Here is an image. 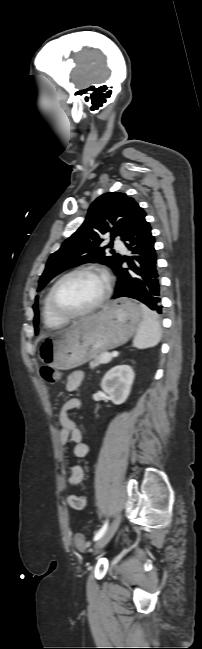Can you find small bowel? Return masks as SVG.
<instances>
[{
  "label": "small bowel",
  "instance_id": "small-bowel-1",
  "mask_svg": "<svg viewBox=\"0 0 202 649\" xmlns=\"http://www.w3.org/2000/svg\"><path fill=\"white\" fill-rule=\"evenodd\" d=\"M84 379V373L80 370L72 371L67 379L66 386L69 390H74L78 388ZM80 407V401L76 398L69 399L66 401L62 408L59 416V422L61 428L59 430V444L61 446V460H65V450L64 447L68 442H72L74 445L73 453L76 457H84L89 451V447L82 441V433L76 427L74 420L71 415L72 412ZM84 478V470L80 465H74L71 467L68 477V484L71 486L79 485ZM67 503L70 507L76 510H82L86 505V500L83 496L71 495L67 498Z\"/></svg>",
  "mask_w": 202,
  "mask_h": 649
}]
</instances>
